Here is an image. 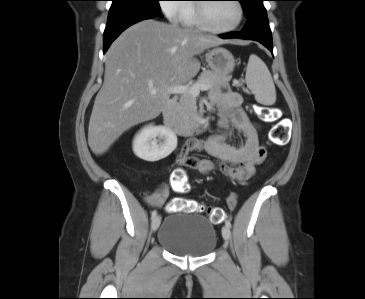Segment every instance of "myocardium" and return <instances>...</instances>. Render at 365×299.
<instances>
[{
	"label": "myocardium",
	"instance_id": "obj_1",
	"mask_svg": "<svg viewBox=\"0 0 365 299\" xmlns=\"http://www.w3.org/2000/svg\"><path fill=\"white\" fill-rule=\"evenodd\" d=\"M233 1L237 5L238 11H239V17H238L237 22L233 26L228 27V28L213 27L210 24L209 17L207 14V3L197 4L196 5L197 21H198L199 25L201 26V28L205 29L206 31H209L211 33H216V34L230 33V32L235 31L236 29H238L244 19V8H243V5L240 0H233Z\"/></svg>",
	"mask_w": 365,
	"mask_h": 299
}]
</instances>
